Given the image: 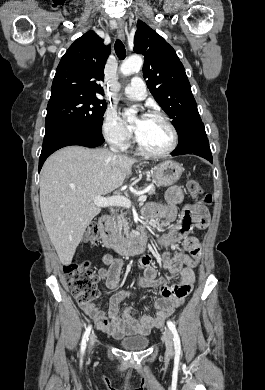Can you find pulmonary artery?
Listing matches in <instances>:
<instances>
[{"label": "pulmonary artery", "instance_id": "obj_1", "mask_svg": "<svg viewBox=\"0 0 265 390\" xmlns=\"http://www.w3.org/2000/svg\"><path fill=\"white\" fill-rule=\"evenodd\" d=\"M124 94L129 99L141 100L146 96V86L139 76L131 78L130 83L125 87Z\"/></svg>", "mask_w": 265, "mask_h": 390}]
</instances>
